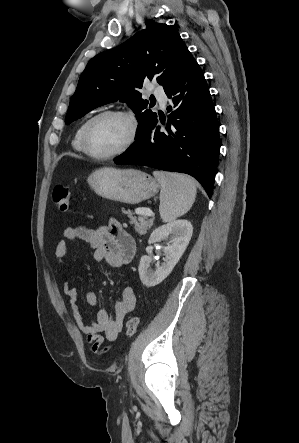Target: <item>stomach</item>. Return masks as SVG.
Segmentation results:
<instances>
[{"mask_svg": "<svg viewBox=\"0 0 299 443\" xmlns=\"http://www.w3.org/2000/svg\"><path fill=\"white\" fill-rule=\"evenodd\" d=\"M88 183L99 196L128 204H138L159 190L154 178L136 169L101 168L89 175Z\"/></svg>", "mask_w": 299, "mask_h": 443, "instance_id": "0dacf381", "label": "stomach"}]
</instances>
